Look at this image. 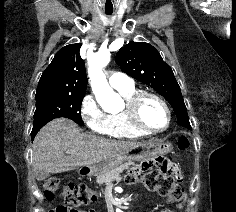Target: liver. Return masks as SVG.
I'll list each match as a JSON object with an SVG mask.
<instances>
[{"label":"liver","instance_id":"6515ba94","mask_svg":"<svg viewBox=\"0 0 236 212\" xmlns=\"http://www.w3.org/2000/svg\"><path fill=\"white\" fill-rule=\"evenodd\" d=\"M141 142L106 139L84 133L73 121L57 118L46 124L33 143L34 173H61L77 167H90L120 155ZM74 150L75 154L65 155Z\"/></svg>","mask_w":236,"mask_h":212}]
</instances>
